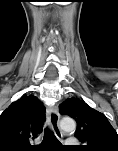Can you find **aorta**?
Wrapping results in <instances>:
<instances>
[{
	"mask_svg": "<svg viewBox=\"0 0 118 151\" xmlns=\"http://www.w3.org/2000/svg\"><path fill=\"white\" fill-rule=\"evenodd\" d=\"M60 128L65 132H74L76 129V123L72 118L66 117L60 121Z\"/></svg>",
	"mask_w": 118,
	"mask_h": 151,
	"instance_id": "1",
	"label": "aorta"
}]
</instances>
